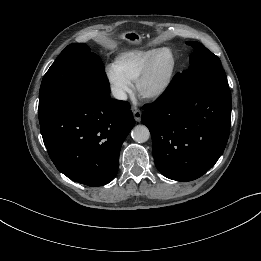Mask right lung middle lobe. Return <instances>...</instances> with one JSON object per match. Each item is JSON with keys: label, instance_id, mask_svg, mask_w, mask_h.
<instances>
[{"label": "right lung middle lobe", "instance_id": "1", "mask_svg": "<svg viewBox=\"0 0 261 261\" xmlns=\"http://www.w3.org/2000/svg\"><path fill=\"white\" fill-rule=\"evenodd\" d=\"M103 63L84 43L68 45L43 77L38 107L39 118L82 93L109 94Z\"/></svg>", "mask_w": 261, "mask_h": 261}]
</instances>
